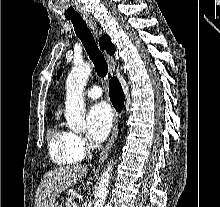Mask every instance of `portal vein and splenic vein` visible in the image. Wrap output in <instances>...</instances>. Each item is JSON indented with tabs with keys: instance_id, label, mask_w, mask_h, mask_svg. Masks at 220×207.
<instances>
[{
	"instance_id": "portal-vein-and-splenic-vein-1",
	"label": "portal vein and splenic vein",
	"mask_w": 220,
	"mask_h": 207,
	"mask_svg": "<svg viewBox=\"0 0 220 207\" xmlns=\"http://www.w3.org/2000/svg\"><path fill=\"white\" fill-rule=\"evenodd\" d=\"M72 207H78V204L74 202Z\"/></svg>"
}]
</instances>
